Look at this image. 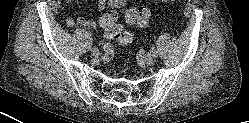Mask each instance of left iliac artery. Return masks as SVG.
I'll return each mask as SVG.
<instances>
[{"instance_id":"44dca946","label":"left iliac artery","mask_w":249,"mask_h":123,"mask_svg":"<svg viewBox=\"0 0 249 123\" xmlns=\"http://www.w3.org/2000/svg\"><path fill=\"white\" fill-rule=\"evenodd\" d=\"M151 53L154 57L158 56L157 51L154 48H151Z\"/></svg>"}]
</instances>
